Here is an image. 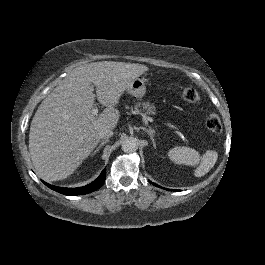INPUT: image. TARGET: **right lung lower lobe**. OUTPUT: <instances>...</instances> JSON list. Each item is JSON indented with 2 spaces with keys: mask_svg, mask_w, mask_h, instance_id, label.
I'll return each instance as SVG.
<instances>
[{
  "mask_svg": "<svg viewBox=\"0 0 265 265\" xmlns=\"http://www.w3.org/2000/svg\"><path fill=\"white\" fill-rule=\"evenodd\" d=\"M105 177H106V169H104L101 172L100 176L95 181H93L92 183L86 186L78 187V188H63V187H57V186L50 185L44 181L42 182L47 187L51 188L52 190H55L64 195H83V194H87V193H90L92 191L99 189L104 183Z\"/></svg>",
  "mask_w": 265,
  "mask_h": 265,
  "instance_id": "right-lung-lower-lobe-1",
  "label": "right lung lower lobe"
}]
</instances>
